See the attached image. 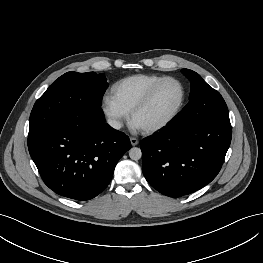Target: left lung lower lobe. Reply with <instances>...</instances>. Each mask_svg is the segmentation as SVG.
<instances>
[{
  "mask_svg": "<svg viewBox=\"0 0 263 263\" xmlns=\"http://www.w3.org/2000/svg\"><path fill=\"white\" fill-rule=\"evenodd\" d=\"M231 136L229 117L212 118L187 130H180L172 120L141 141L143 174L164 195L193 193L219 173Z\"/></svg>",
  "mask_w": 263,
  "mask_h": 263,
  "instance_id": "1",
  "label": "left lung lower lobe"
}]
</instances>
